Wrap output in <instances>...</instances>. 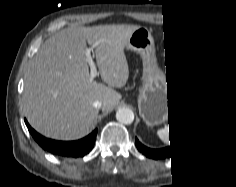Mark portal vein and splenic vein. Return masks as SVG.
<instances>
[{
  "label": "portal vein and splenic vein",
  "mask_w": 236,
  "mask_h": 187,
  "mask_svg": "<svg viewBox=\"0 0 236 187\" xmlns=\"http://www.w3.org/2000/svg\"><path fill=\"white\" fill-rule=\"evenodd\" d=\"M95 46L96 45L94 44L90 48H87L86 51H85L86 61L88 62L89 66H90V77H91V80L99 75V72L97 71L96 65H95V63H94V61L92 59V56H91V51H93Z\"/></svg>",
  "instance_id": "1"
}]
</instances>
